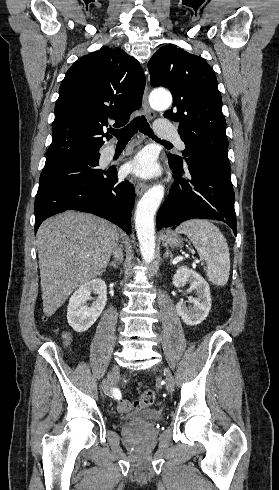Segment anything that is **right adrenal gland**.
Here are the masks:
<instances>
[{"label":"right adrenal gland","instance_id":"2a0ac1e0","mask_svg":"<svg viewBox=\"0 0 279 490\" xmlns=\"http://www.w3.org/2000/svg\"><path fill=\"white\" fill-rule=\"evenodd\" d=\"M120 264H122V258H120V260H118L117 264L116 262H111V264H109L110 268H113V270H116V268H119Z\"/></svg>","mask_w":279,"mask_h":490}]
</instances>
